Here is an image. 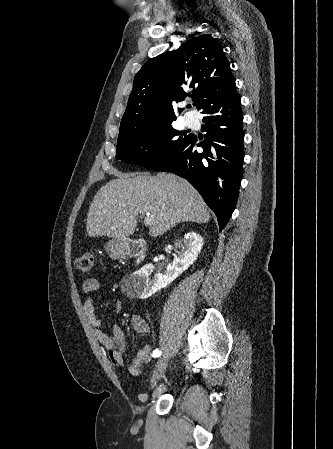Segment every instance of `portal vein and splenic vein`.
Segmentation results:
<instances>
[{
	"label": "portal vein and splenic vein",
	"instance_id": "18ae733b",
	"mask_svg": "<svg viewBox=\"0 0 333 449\" xmlns=\"http://www.w3.org/2000/svg\"><path fill=\"white\" fill-rule=\"evenodd\" d=\"M152 223H153V217L151 216L150 213H146V217H145V219H144V224H145L146 226H149V225H151Z\"/></svg>",
	"mask_w": 333,
	"mask_h": 449
}]
</instances>
